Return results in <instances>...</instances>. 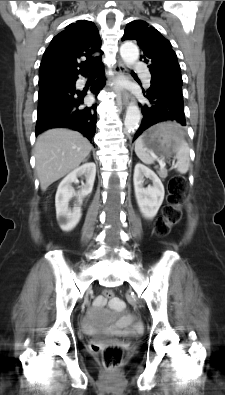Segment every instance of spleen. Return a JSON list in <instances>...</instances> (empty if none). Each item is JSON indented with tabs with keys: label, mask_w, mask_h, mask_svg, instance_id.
<instances>
[{
	"label": "spleen",
	"mask_w": 225,
	"mask_h": 395,
	"mask_svg": "<svg viewBox=\"0 0 225 395\" xmlns=\"http://www.w3.org/2000/svg\"><path fill=\"white\" fill-rule=\"evenodd\" d=\"M135 153L138 158L145 164H152L155 160L154 154L149 151L143 144L142 136L139 137L135 142ZM177 171L184 174L189 169V147L185 140H181L179 147L177 148L176 157Z\"/></svg>",
	"instance_id": "3e777b00"
}]
</instances>
